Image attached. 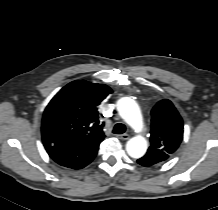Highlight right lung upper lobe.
Here are the masks:
<instances>
[{
    "mask_svg": "<svg viewBox=\"0 0 218 210\" xmlns=\"http://www.w3.org/2000/svg\"><path fill=\"white\" fill-rule=\"evenodd\" d=\"M112 90L103 84L76 80L62 88L47 105L43 135H60L80 142L103 140L97 107Z\"/></svg>",
    "mask_w": 218,
    "mask_h": 210,
    "instance_id": "1",
    "label": "right lung upper lobe"
}]
</instances>
